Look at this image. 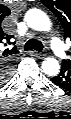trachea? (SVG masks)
Wrapping results in <instances>:
<instances>
[{
  "label": "trachea",
  "instance_id": "3493384b",
  "mask_svg": "<svg viewBox=\"0 0 71 119\" xmlns=\"http://www.w3.org/2000/svg\"><path fill=\"white\" fill-rule=\"evenodd\" d=\"M32 49L41 52L43 50V45L40 41H37L36 39H30L25 44V50H32Z\"/></svg>",
  "mask_w": 71,
  "mask_h": 119
}]
</instances>
